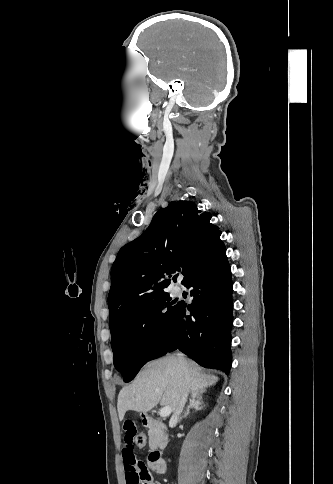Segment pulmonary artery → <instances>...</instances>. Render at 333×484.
I'll return each mask as SVG.
<instances>
[{
    "mask_svg": "<svg viewBox=\"0 0 333 484\" xmlns=\"http://www.w3.org/2000/svg\"><path fill=\"white\" fill-rule=\"evenodd\" d=\"M173 292L175 294H180L181 293V287L176 285L174 288H173Z\"/></svg>",
    "mask_w": 333,
    "mask_h": 484,
    "instance_id": "1",
    "label": "pulmonary artery"
}]
</instances>
